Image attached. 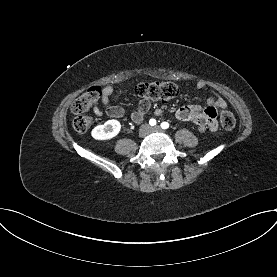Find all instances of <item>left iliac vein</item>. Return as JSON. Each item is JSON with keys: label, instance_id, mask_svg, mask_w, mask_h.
Masks as SVG:
<instances>
[{"label": "left iliac vein", "instance_id": "obj_1", "mask_svg": "<svg viewBox=\"0 0 277 277\" xmlns=\"http://www.w3.org/2000/svg\"><path fill=\"white\" fill-rule=\"evenodd\" d=\"M151 132H163L162 128L159 126H154L150 129Z\"/></svg>", "mask_w": 277, "mask_h": 277}]
</instances>
